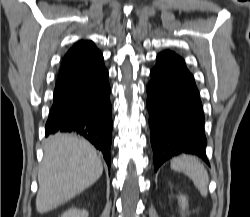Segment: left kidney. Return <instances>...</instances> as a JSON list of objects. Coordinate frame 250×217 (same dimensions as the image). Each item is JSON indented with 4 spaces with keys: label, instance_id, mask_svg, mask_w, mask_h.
Listing matches in <instances>:
<instances>
[{
    "label": "left kidney",
    "instance_id": "1",
    "mask_svg": "<svg viewBox=\"0 0 250 217\" xmlns=\"http://www.w3.org/2000/svg\"><path fill=\"white\" fill-rule=\"evenodd\" d=\"M178 201H179L180 207H181L182 209H185V208L188 207V200H187L186 196H184V195H179V196H178Z\"/></svg>",
    "mask_w": 250,
    "mask_h": 217
}]
</instances>
